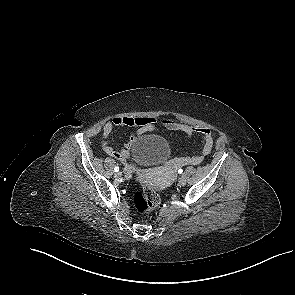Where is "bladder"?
<instances>
[{
	"instance_id": "bladder-1",
	"label": "bladder",
	"mask_w": 295,
	"mask_h": 295,
	"mask_svg": "<svg viewBox=\"0 0 295 295\" xmlns=\"http://www.w3.org/2000/svg\"><path fill=\"white\" fill-rule=\"evenodd\" d=\"M170 155L168 142L158 135H145L132 145V160L138 166H155L165 162Z\"/></svg>"
}]
</instances>
